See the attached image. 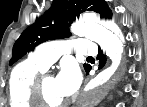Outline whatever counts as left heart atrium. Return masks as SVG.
<instances>
[{"label": "left heart atrium", "instance_id": "39dd6f15", "mask_svg": "<svg viewBox=\"0 0 147 107\" xmlns=\"http://www.w3.org/2000/svg\"><path fill=\"white\" fill-rule=\"evenodd\" d=\"M55 79L59 93L67 98L78 89L81 75L77 67L65 66Z\"/></svg>", "mask_w": 147, "mask_h": 107}]
</instances>
